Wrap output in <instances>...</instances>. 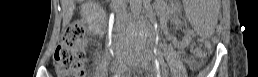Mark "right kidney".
<instances>
[{
	"mask_svg": "<svg viewBox=\"0 0 258 77\" xmlns=\"http://www.w3.org/2000/svg\"><path fill=\"white\" fill-rule=\"evenodd\" d=\"M92 7H95V5H91V6H90V8H92ZM102 13H103V10H102V9H98V10L95 12V18H96V19L100 18L101 15H102Z\"/></svg>",
	"mask_w": 258,
	"mask_h": 77,
	"instance_id": "ca27d5eb",
	"label": "right kidney"
}]
</instances>
